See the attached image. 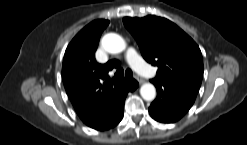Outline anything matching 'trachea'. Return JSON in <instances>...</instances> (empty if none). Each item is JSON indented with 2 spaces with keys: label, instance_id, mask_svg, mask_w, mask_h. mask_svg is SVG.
Instances as JSON below:
<instances>
[{
  "label": "trachea",
  "instance_id": "3493384b",
  "mask_svg": "<svg viewBox=\"0 0 247 145\" xmlns=\"http://www.w3.org/2000/svg\"><path fill=\"white\" fill-rule=\"evenodd\" d=\"M123 75H124V70L122 69V68H120V69H118L117 71H116V73H115V75H114V79H120V78H122L123 77ZM125 76L126 77H132L133 76V73H132V71L130 70V69H127L126 71H125Z\"/></svg>",
  "mask_w": 247,
  "mask_h": 145
}]
</instances>
